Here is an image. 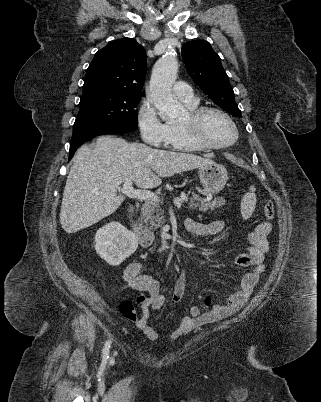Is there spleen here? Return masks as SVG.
Returning <instances> with one entry per match:
<instances>
[{"instance_id":"obj_1","label":"spleen","mask_w":321,"mask_h":402,"mask_svg":"<svg viewBox=\"0 0 321 402\" xmlns=\"http://www.w3.org/2000/svg\"><path fill=\"white\" fill-rule=\"evenodd\" d=\"M255 190H256L255 186H251L249 188V192H247L241 200V215L245 220L251 217L255 209L256 206Z\"/></svg>"}]
</instances>
